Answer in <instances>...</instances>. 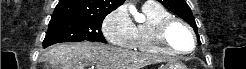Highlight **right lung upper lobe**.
<instances>
[{
	"label": "right lung upper lobe",
	"instance_id": "1",
	"mask_svg": "<svg viewBox=\"0 0 246 69\" xmlns=\"http://www.w3.org/2000/svg\"><path fill=\"white\" fill-rule=\"evenodd\" d=\"M125 0H60L52 19L62 17L101 18L117 9Z\"/></svg>",
	"mask_w": 246,
	"mask_h": 69
}]
</instances>
